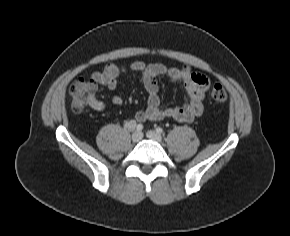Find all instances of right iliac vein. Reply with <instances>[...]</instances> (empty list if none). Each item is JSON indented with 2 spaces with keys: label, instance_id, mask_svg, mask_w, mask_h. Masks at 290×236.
<instances>
[{
  "label": "right iliac vein",
  "instance_id": "obj_1",
  "mask_svg": "<svg viewBox=\"0 0 290 236\" xmlns=\"http://www.w3.org/2000/svg\"><path fill=\"white\" fill-rule=\"evenodd\" d=\"M141 138H142V134L139 131H135L131 136V140L134 143L139 142Z\"/></svg>",
  "mask_w": 290,
  "mask_h": 236
}]
</instances>
